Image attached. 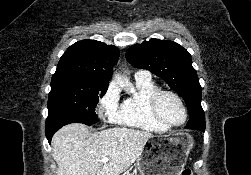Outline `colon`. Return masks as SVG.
Masks as SVG:
<instances>
[{"instance_id": "obj_1", "label": "colon", "mask_w": 251, "mask_h": 175, "mask_svg": "<svg viewBox=\"0 0 251 175\" xmlns=\"http://www.w3.org/2000/svg\"><path fill=\"white\" fill-rule=\"evenodd\" d=\"M181 175H193L192 171L189 168H185Z\"/></svg>"}]
</instances>
